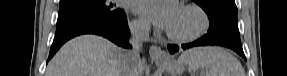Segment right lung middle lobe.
<instances>
[{"instance_id": "right-lung-middle-lobe-1", "label": "right lung middle lobe", "mask_w": 287, "mask_h": 76, "mask_svg": "<svg viewBox=\"0 0 287 76\" xmlns=\"http://www.w3.org/2000/svg\"><path fill=\"white\" fill-rule=\"evenodd\" d=\"M124 14L109 0H60L56 35L84 25L111 23Z\"/></svg>"}]
</instances>
